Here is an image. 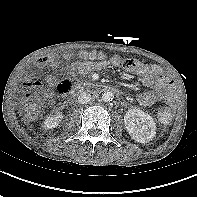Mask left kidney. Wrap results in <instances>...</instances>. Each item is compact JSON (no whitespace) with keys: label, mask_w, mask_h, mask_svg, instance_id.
Instances as JSON below:
<instances>
[{"label":"left kidney","mask_w":197,"mask_h":197,"mask_svg":"<svg viewBox=\"0 0 197 197\" xmlns=\"http://www.w3.org/2000/svg\"><path fill=\"white\" fill-rule=\"evenodd\" d=\"M124 123L129 135L136 142L148 143L156 134L153 118L140 109H130L124 116Z\"/></svg>","instance_id":"1"}]
</instances>
